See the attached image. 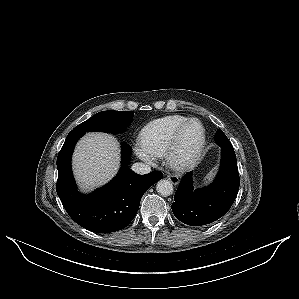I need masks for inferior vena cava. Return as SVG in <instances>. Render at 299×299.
Instances as JSON below:
<instances>
[{"label":"inferior vena cava","instance_id":"602c4592","mask_svg":"<svg viewBox=\"0 0 299 299\" xmlns=\"http://www.w3.org/2000/svg\"><path fill=\"white\" fill-rule=\"evenodd\" d=\"M131 169L137 174H147L151 172V167L144 163H135L132 165Z\"/></svg>","mask_w":299,"mask_h":299}]
</instances>
